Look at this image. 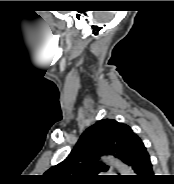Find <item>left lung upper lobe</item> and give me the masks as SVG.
<instances>
[{
    "mask_svg": "<svg viewBox=\"0 0 174 184\" xmlns=\"http://www.w3.org/2000/svg\"><path fill=\"white\" fill-rule=\"evenodd\" d=\"M141 139L131 128L113 119H102L87 128L70 155L45 174L55 184H93L104 178L101 172L108 166L99 161L101 155L111 154L127 163Z\"/></svg>",
    "mask_w": 174,
    "mask_h": 184,
    "instance_id": "1",
    "label": "left lung upper lobe"
}]
</instances>
